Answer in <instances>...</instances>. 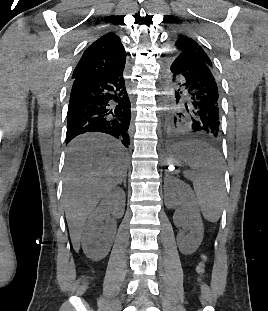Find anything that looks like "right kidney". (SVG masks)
I'll list each match as a JSON object with an SVG mask.
<instances>
[{
	"label": "right kidney",
	"instance_id": "obj_1",
	"mask_svg": "<svg viewBox=\"0 0 268 311\" xmlns=\"http://www.w3.org/2000/svg\"><path fill=\"white\" fill-rule=\"evenodd\" d=\"M124 211L125 192L115 187L91 213L84 228L81 245L88 258L98 261L109 253L117 229L114 220L121 218ZM110 215L113 216V220L104 225L103 221Z\"/></svg>",
	"mask_w": 268,
	"mask_h": 311
}]
</instances>
